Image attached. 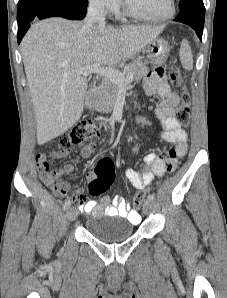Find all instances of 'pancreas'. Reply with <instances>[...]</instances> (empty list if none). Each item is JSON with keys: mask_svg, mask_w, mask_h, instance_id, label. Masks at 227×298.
I'll return each instance as SVG.
<instances>
[{"mask_svg": "<svg viewBox=\"0 0 227 298\" xmlns=\"http://www.w3.org/2000/svg\"><path fill=\"white\" fill-rule=\"evenodd\" d=\"M121 72L126 75L133 74V80L138 82L147 73L146 63L141 58H136L125 65ZM119 89L118 84L105 78L98 89L99 102L96 110L98 112L110 113L116 103Z\"/></svg>", "mask_w": 227, "mask_h": 298, "instance_id": "obj_1", "label": "pancreas"}]
</instances>
